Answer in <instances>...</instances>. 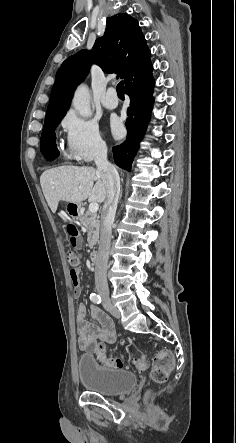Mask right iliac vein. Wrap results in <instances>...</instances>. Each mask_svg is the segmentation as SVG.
<instances>
[{
	"label": "right iliac vein",
	"instance_id": "obj_1",
	"mask_svg": "<svg viewBox=\"0 0 236 443\" xmlns=\"http://www.w3.org/2000/svg\"><path fill=\"white\" fill-rule=\"evenodd\" d=\"M103 307H104L107 311H109L112 315H114L115 317H120V312H119V310H118L114 305H112L111 303L103 304Z\"/></svg>",
	"mask_w": 236,
	"mask_h": 443
}]
</instances>
